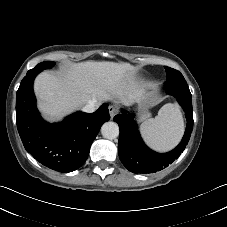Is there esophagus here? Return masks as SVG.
Masks as SVG:
<instances>
[{
    "mask_svg": "<svg viewBox=\"0 0 227 227\" xmlns=\"http://www.w3.org/2000/svg\"><path fill=\"white\" fill-rule=\"evenodd\" d=\"M109 114L111 119L119 112L118 108L116 106H109Z\"/></svg>",
    "mask_w": 227,
    "mask_h": 227,
    "instance_id": "esophagus-1",
    "label": "esophagus"
}]
</instances>
